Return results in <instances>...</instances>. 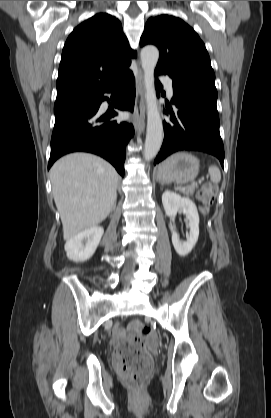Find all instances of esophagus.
<instances>
[{
    "mask_svg": "<svg viewBox=\"0 0 271 418\" xmlns=\"http://www.w3.org/2000/svg\"><path fill=\"white\" fill-rule=\"evenodd\" d=\"M133 124L136 131H142L145 126V98L143 71L139 69L136 79V100L133 115Z\"/></svg>",
    "mask_w": 271,
    "mask_h": 418,
    "instance_id": "1",
    "label": "esophagus"
}]
</instances>
